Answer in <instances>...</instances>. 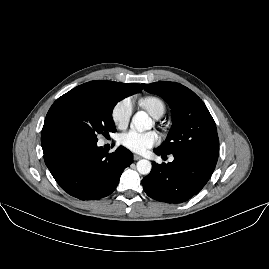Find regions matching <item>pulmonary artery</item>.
I'll return each mask as SVG.
<instances>
[{
    "mask_svg": "<svg viewBox=\"0 0 269 269\" xmlns=\"http://www.w3.org/2000/svg\"><path fill=\"white\" fill-rule=\"evenodd\" d=\"M163 116V113L162 112H159V113H157L154 117L156 118V119H159V118H161ZM173 157L171 156L170 157V161H173Z\"/></svg>",
    "mask_w": 269,
    "mask_h": 269,
    "instance_id": "1",
    "label": "pulmonary artery"
}]
</instances>
